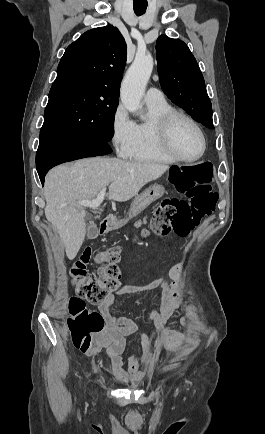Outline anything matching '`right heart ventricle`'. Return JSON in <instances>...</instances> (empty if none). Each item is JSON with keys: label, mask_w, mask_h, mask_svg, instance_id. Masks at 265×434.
<instances>
[{"label": "right heart ventricle", "mask_w": 265, "mask_h": 434, "mask_svg": "<svg viewBox=\"0 0 265 434\" xmlns=\"http://www.w3.org/2000/svg\"><path fill=\"white\" fill-rule=\"evenodd\" d=\"M149 118L137 124L136 143L133 153L128 154L127 159L133 162L172 165L175 161L162 145L160 136V121L162 117L172 110L171 106L162 100L161 103L147 104Z\"/></svg>", "instance_id": "obj_1"}]
</instances>
